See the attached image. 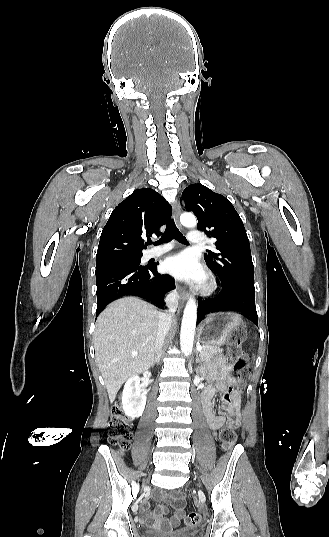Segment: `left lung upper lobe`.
Wrapping results in <instances>:
<instances>
[{
    "label": "left lung upper lobe",
    "instance_id": "5c2ea615",
    "mask_svg": "<svg viewBox=\"0 0 329 537\" xmlns=\"http://www.w3.org/2000/svg\"><path fill=\"white\" fill-rule=\"evenodd\" d=\"M187 211L194 212L197 228L217 239L215 251L204 254L207 265L222 285L254 283V267L249 240L234 206L224 196L202 184H191L182 193Z\"/></svg>",
    "mask_w": 329,
    "mask_h": 537
}]
</instances>
